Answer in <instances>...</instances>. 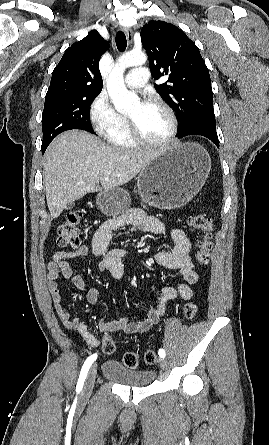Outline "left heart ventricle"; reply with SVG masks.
Listing matches in <instances>:
<instances>
[{
  "mask_svg": "<svg viewBox=\"0 0 269 445\" xmlns=\"http://www.w3.org/2000/svg\"><path fill=\"white\" fill-rule=\"evenodd\" d=\"M129 116L134 118L141 134L148 140H163L170 132V118L159 105L137 102Z\"/></svg>",
  "mask_w": 269,
  "mask_h": 445,
  "instance_id": "1",
  "label": "left heart ventricle"
}]
</instances>
